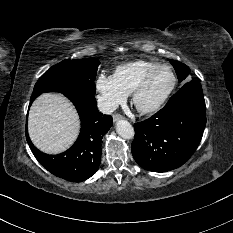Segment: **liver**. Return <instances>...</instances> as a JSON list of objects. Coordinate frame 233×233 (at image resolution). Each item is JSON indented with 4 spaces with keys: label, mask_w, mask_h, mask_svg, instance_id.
<instances>
[{
    "label": "liver",
    "mask_w": 233,
    "mask_h": 233,
    "mask_svg": "<svg viewBox=\"0 0 233 233\" xmlns=\"http://www.w3.org/2000/svg\"><path fill=\"white\" fill-rule=\"evenodd\" d=\"M79 116L72 103L62 94L44 93L32 104L28 132L34 145L49 154L68 149L76 140Z\"/></svg>",
    "instance_id": "1"
}]
</instances>
